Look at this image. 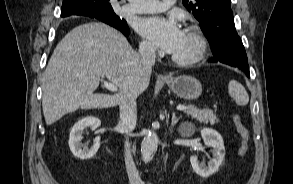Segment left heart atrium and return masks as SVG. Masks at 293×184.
Returning a JSON list of instances; mask_svg holds the SVG:
<instances>
[{
	"label": "left heart atrium",
	"mask_w": 293,
	"mask_h": 184,
	"mask_svg": "<svg viewBox=\"0 0 293 184\" xmlns=\"http://www.w3.org/2000/svg\"><path fill=\"white\" fill-rule=\"evenodd\" d=\"M139 32L166 53L173 54L181 43L183 31L172 18L160 16L140 21Z\"/></svg>",
	"instance_id": "obj_1"
}]
</instances>
